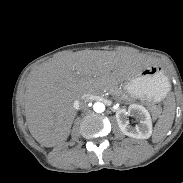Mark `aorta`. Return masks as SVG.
<instances>
[{
  "label": "aorta",
  "instance_id": "aorta-1",
  "mask_svg": "<svg viewBox=\"0 0 183 183\" xmlns=\"http://www.w3.org/2000/svg\"><path fill=\"white\" fill-rule=\"evenodd\" d=\"M93 109L95 112L97 113H102L104 112L105 110V105L101 102H96L94 105H93Z\"/></svg>",
  "mask_w": 183,
  "mask_h": 183
}]
</instances>
